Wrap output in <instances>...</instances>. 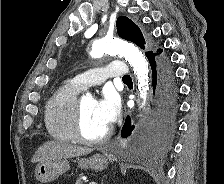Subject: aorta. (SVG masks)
I'll return each instance as SVG.
<instances>
[{
	"mask_svg": "<svg viewBox=\"0 0 224 184\" xmlns=\"http://www.w3.org/2000/svg\"><path fill=\"white\" fill-rule=\"evenodd\" d=\"M107 53L120 54L129 62L138 80L137 85L143 107L149 90V68L144 55L133 44L117 38H102L92 43L90 54L93 58H100Z\"/></svg>",
	"mask_w": 224,
	"mask_h": 184,
	"instance_id": "1",
	"label": "aorta"
}]
</instances>
